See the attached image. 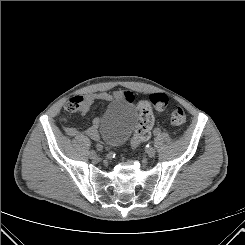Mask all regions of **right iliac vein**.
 Listing matches in <instances>:
<instances>
[{
    "instance_id": "obj_1",
    "label": "right iliac vein",
    "mask_w": 245,
    "mask_h": 245,
    "mask_svg": "<svg viewBox=\"0 0 245 245\" xmlns=\"http://www.w3.org/2000/svg\"><path fill=\"white\" fill-rule=\"evenodd\" d=\"M89 157L92 159H95L97 157V154L94 150H90L89 151Z\"/></svg>"
}]
</instances>
